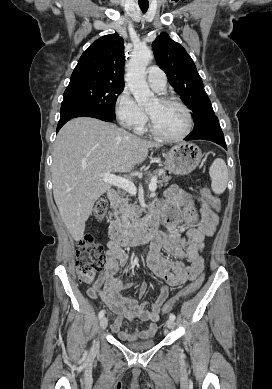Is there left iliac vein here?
Instances as JSON below:
<instances>
[{
	"mask_svg": "<svg viewBox=\"0 0 272 389\" xmlns=\"http://www.w3.org/2000/svg\"><path fill=\"white\" fill-rule=\"evenodd\" d=\"M166 326H167L168 329H173L174 326H175V323H174L173 320H168V321L166 322Z\"/></svg>",
	"mask_w": 272,
	"mask_h": 389,
	"instance_id": "left-iliac-vein-1",
	"label": "left iliac vein"
}]
</instances>
